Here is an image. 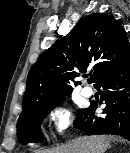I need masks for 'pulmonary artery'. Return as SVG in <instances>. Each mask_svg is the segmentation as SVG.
Returning <instances> with one entry per match:
<instances>
[{"instance_id": "1", "label": "pulmonary artery", "mask_w": 130, "mask_h": 153, "mask_svg": "<svg viewBox=\"0 0 130 153\" xmlns=\"http://www.w3.org/2000/svg\"><path fill=\"white\" fill-rule=\"evenodd\" d=\"M93 93H94V91H93V89L90 88V87H84V88L82 89V94H83V96H85V97H91V96L93 95Z\"/></svg>"}]
</instances>
